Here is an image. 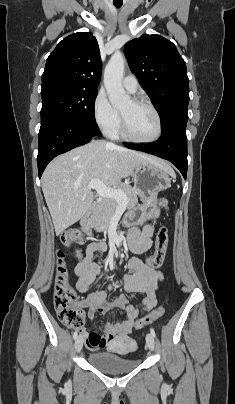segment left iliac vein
<instances>
[{"instance_id":"4c4485c4","label":"left iliac vein","mask_w":235,"mask_h":404,"mask_svg":"<svg viewBox=\"0 0 235 404\" xmlns=\"http://www.w3.org/2000/svg\"><path fill=\"white\" fill-rule=\"evenodd\" d=\"M146 344H147V347L152 351V350H154V347H155V340H154V337L152 336V334H150V333H148L147 335H146Z\"/></svg>"}]
</instances>
